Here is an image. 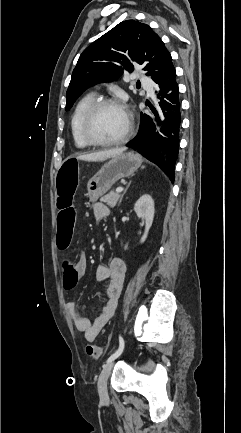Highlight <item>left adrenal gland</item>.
Wrapping results in <instances>:
<instances>
[{
	"label": "left adrenal gland",
	"instance_id": "1",
	"mask_svg": "<svg viewBox=\"0 0 241 433\" xmlns=\"http://www.w3.org/2000/svg\"><path fill=\"white\" fill-rule=\"evenodd\" d=\"M130 184H131V181L129 182V184H128L127 188L125 189L124 193L127 191V189L129 188ZM123 195H124V194H123ZM123 195H122V196H123ZM121 199H122V197H121ZM121 199H120V201H121Z\"/></svg>",
	"mask_w": 241,
	"mask_h": 433
}]
</instances>
